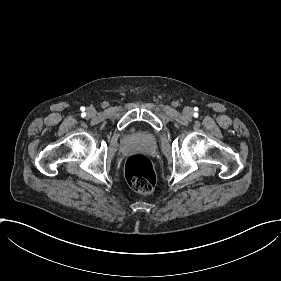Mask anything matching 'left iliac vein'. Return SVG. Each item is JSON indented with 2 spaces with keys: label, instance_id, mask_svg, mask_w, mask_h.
Wrapping results in <instances>:
<instances>
[{
  "label": "left iliac vein",
  "instance_id": "4c4485c4",
  "mask_svg": "<svg viewBox=\"0 0 281 281\" xmlns=\"http://www.w3.org/2000/svg\"><path fill=\"white\" fill-rule=\"evenodd\" d=\"M183 112H184V114H183V115H184V117H185V118H187V119H188V118H190V117H191V115H192V114H191V112H192V111H191V109H190V108H188V107H187V108H185Z\"/></svg>",
  "mask_w": 281,
  "mask_h": 281
}]
</instances>
